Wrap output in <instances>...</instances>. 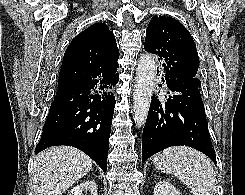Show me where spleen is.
Returning a JSON list of instances; mask_svg holds the SVG:
<instances>
[{
  "label": "spleen",
  "instance_id": "obj_1",
  "mask_svg": "<svg viewBox=\"0 0 245 195\" xmlns=\"http://www.w3.org/2000/svg\"><path fill=\"white\" fill-rule=\"evenodd\" d=\"M155 167L164 173L174 174L193 195H215L216 174L207 156L186 146H174L156 154Z\"/></svg>",
  "mask_w": 245,
  "mask_h": 195
}]
</instances>
